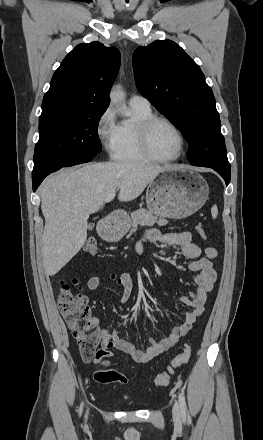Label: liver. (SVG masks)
Here are the masks:
<instances>
[{"mask_svg": "<svg viewBox=\"0 0 263 440\" xmlns=\"http://www.w3.org/2000/svg\"><path fill=\"white\" fill-rule=\"evenodd\" d=\"M171 168L174 166L105 162L64 169L46 178L40 188L45 273L55 275L79 252L87 238L89 215L103 207L110 193L119 189V201H132Z\"/></svg>", "mask_w": 263, "mask_h": 440, "instance_id": "1", "label": "liver"}]
</instances>
